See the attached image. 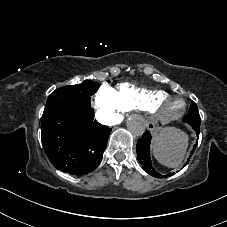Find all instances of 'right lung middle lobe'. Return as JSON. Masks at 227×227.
<instances>
[{"label":"right lung middle lobe","instance_id":"dd1d6c3e","mask_svg":"<svg viewBox=\"0 0 227 227\" xmlns=\"http://www.w3.org/2000/svg\"><path fill=\"white\" fill-rule=\"evenodd\" d=\"M97 89V85L89 80L58 88L48 96L42 116L65 107H89L91 106L90 96Z\"/></svg>","mask_w":227,"mask_h":227}]
</instances>
